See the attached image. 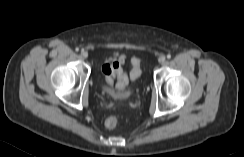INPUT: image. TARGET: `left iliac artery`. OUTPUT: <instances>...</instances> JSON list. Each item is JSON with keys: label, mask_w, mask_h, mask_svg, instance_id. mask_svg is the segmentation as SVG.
Segmentation results:
<instances>
[{"label": "left iliac artery", "mask_w": 244, "mask_h": 157, "mask_svg": "<svg viewBox=\"0 0 244 157\" xmlns=\"http://www.w3.org/2000/svg\"><path fill=\"white\" fill-rule=\"evenodd\" d=\"M167 58H168V59H170V58H171V55H170V54H168V55H167Z\"/></svg>", "instance_id": "left-iliac-artery-1"}]
</instances>
